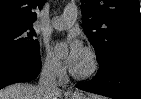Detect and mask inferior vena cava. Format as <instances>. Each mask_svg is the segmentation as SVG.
<instances>
[{
    "instance_id": "602c4592",
    "label": "inferior vena cava",
    "mask_w": 141,
    "mask_h": 99,
    "mask_svg": "<svg viewBox=\"0 0 141 99\" xmlns=\"http://www.w3.org/2000/svg\"><path fill=\"white\" fill-rule=\"evenodd\" d=\"M58 65L46 63L43 65L38 87L45 91L50 92L57 90V76H58Z\"/></svg>"
}]
</instances>
